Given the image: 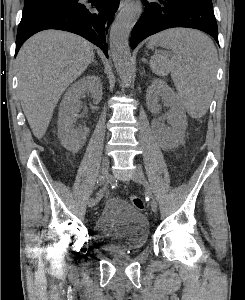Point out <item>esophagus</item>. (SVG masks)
<instances>
[{"mask_svg":"<svg viewBox=\"0 0 245 300\" xmlns=\"http://www.w3.org/2000/svg\"><path fill=\"white\" fill-rule=\"evenodd\" d=\"M131 0H121L119 9L123 8L125 5H127Z\"/></svg>","mask_w":245,"mask_h":300,"instance_id":"esophagus-1","label":"esophagus"}]
</instances>
